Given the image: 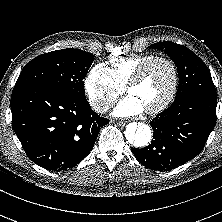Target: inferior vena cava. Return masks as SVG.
Wrapping results in <instances>:
<instances>
[{"instance_id": "obj_1", "label": "inferior vena cava", "mask_w": 222, "mask_h": 222, "mask_svg": "<svg viewBox=\"0 0 222 222\" xmlns=\"http://www.w3.org/2000/svg\"><path fill=\"white\" fill-rule=\"evenodd\" d=\"M109 109V106L108 105H103V106H99L97 107V111L99 112H104V111H107Z\"/></svg>"}]
</instances>
